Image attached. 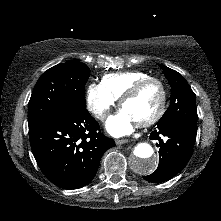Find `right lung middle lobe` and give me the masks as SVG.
<instances>
[{"label": "right lung middle lobe", "mask_w": 221, "mask_h": 221, "mask_svg": "<svg viewBox=\"0 0 221 221\" xmlns=\"http://www.w3.org/2000/svg\"><path fill=\"white\" fill-rule=\"evenodd\" d=\"M90 69L79 61L61 63L45 71L28 104L29 128L65 113L72 106L85 107L84 86Z\"/></svg>", "instance_id": "right-lung-middle-lobe-1"}]
</instances>
